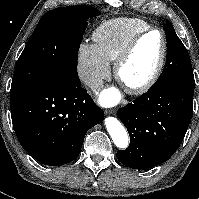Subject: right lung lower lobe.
I'll list each match as a JSON object with an SVG mask.
<instances>
[{"mask_svg": "<svg viewBox=\"0 0 199 199\" xmlns=\"http://www.w3.org/2000/svg\"><path fill=\"white\" fill-rule=\"evenodd\" d=\"M11 117L21 146L49 166L78 157L86 132L104 119L79 82L51 75L11 96Z\"/></svg>", "mask_w": 199, "mask_h": 199, "instance_id": "obj_1", "label": "right lung lower lobe"}]
</instances>
